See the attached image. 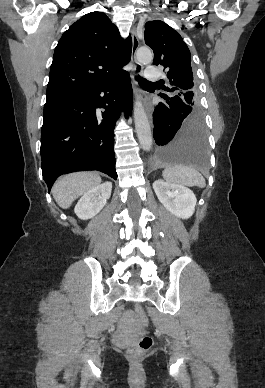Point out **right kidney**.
Segmentation results:
<instances>
[{"label":"right kidney","instance_id":"1","mask_svg":"<svg viewBox=\"0 0 265 388\" xmlns=\"http://www.w3.org/2000/svg\"><path fill=\"white\" fill-rule=\"evenodd\" d=\"M111 190V182H104V184H100V186H96V188H92V190L86 192L75 206L74 212L76 216L80 220L94 218L106 206L107 200L111 196Z\"/></svg>","mask_w":265,"mask_h":388}]
</instances>
